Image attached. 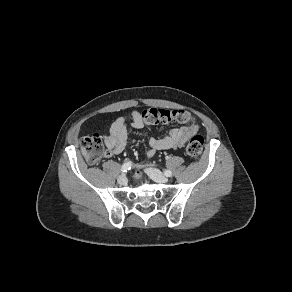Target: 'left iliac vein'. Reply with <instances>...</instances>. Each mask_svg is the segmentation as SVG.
Listing matches in <instances>:
<instances>
[{
  "label": "left iliac vein",
  "instance_id": "left-iliac-vein-1",
  "mask_svg": "<svg viewBox=\"0 0 292 292\" xmlns=\"http://www.w3.org/2000/svg\"><path fill=\"white\" fill-rule=\"evenodd\" d=\"M145 171L150 176V178H152L155 182L166 183L168 181L165 175L156 168L149 167V168H146Z\"/></svg>",
  "mask_w": 292,
  "mask_h": 292
}]
</instances>
